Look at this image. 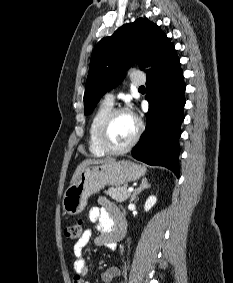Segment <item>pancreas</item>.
<instances>
[{"label":"pancreas","mask_w":233,"mask_h":283,"mask_svg":"<svg viewBox=\"0 0 233 283\" xmlns=\"http://www.w3.org/2000/svg\"><path fill=\"white\" fill-rule=\"evenodd\" d=\"M105 194L109 195L112 199L117 202H124L130 197V192H128V186L125 184L123 186L111 187Z\"/></svg>","instance_id":"1"}]
</instances>
